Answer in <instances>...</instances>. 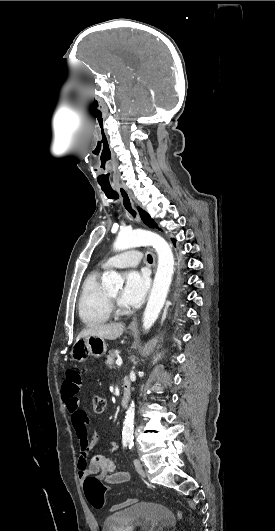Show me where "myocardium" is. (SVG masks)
<instances>
[{"instance_id": "myocardium-1", "label": "myocardium", "mask_w": 275, "mask_h": 531, "mask_svg": "<svg viewBox=\"0 0 275 531\" xmlns=\"http://www.w3.org/2000/svg\"><path fill=\"white\" fill-rule=\"evenodd\" d=\"M107 297L109 299L110 305L113 309H116L117 311H121L123 306L119 303L117 298L110 294L108 291H106Z\"/></svg>"}]
</instances>
